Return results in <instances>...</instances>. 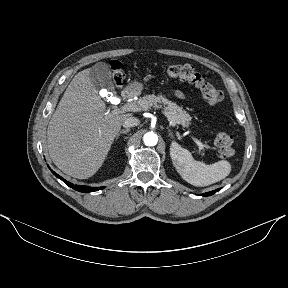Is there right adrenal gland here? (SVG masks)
I'll use <instances>...</instances> for the list:
<instances>
[{
  "label": "right adrenal gland",
  "instance_id": "1",
  "mask_svg": "<svg viewBox=\"0 0 288 288\" xmlns=\"http://www.w3.org/2000/svg\"><path fill=\"white\" fill-rule=\"evenodd\" d=\"M129 131H130V129H123V130H121V131L116 135L115 139L117 140L121 134H127Z\"/></svg>",
  "mask_w": 288,
  "mask_h": 288
}]
</instances>
